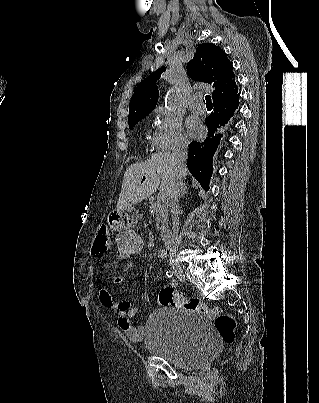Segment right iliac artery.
Wrapping results in <instances>:
<instances>
[{"label":"right iliac artery","instance_id":"obj_1","mask_svg":"<svg viewBox=\"0 0 319 403\" xmlns=\"http://www.w3.org/2000/svg\"><path fill=\"white\" fill-rule=\"evenodd\" d=\"M167 277L171 278L173 276V271L169 270L166 272ZM176 284V282H175Z\"/></svg>","mask_w":319,"mask_h":403}]
</instances>
